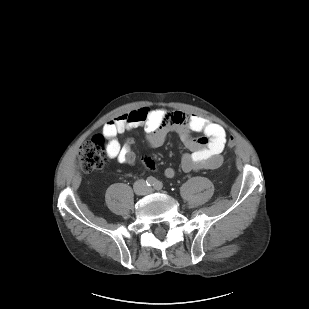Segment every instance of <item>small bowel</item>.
Here are the masks:
<instances>
[{"mask_svg":"<svg viewBox=\"0 0 309 309\" xmlns=\"http://www.w3.org/2000/svg\"><path fill=\"white\" fill-rule=\"evenodd\" d=\"M138 127L144 128L146 141L150 147L161 146L170 133L176 132L182 144L189 150L181 158L180 166L183 172L213 170L223 163L222 152L226 134L220 125L195 114L147 106L124 113L104 125L102 134L108 140L107 155L123 164L134 165L136 162V155L132 149L134 140L128 138L121 144L117 140V135ZM193 133H202L203 136L193 138ZM144 163L150 170L156 168L152 159L147 158ZM164 174L172 178L175 171L169 167L165 169Z\"/></svg>","mask_w":309,"mask_h":309,"instance_id":"1","label":"small bowel"}]
</instances>
